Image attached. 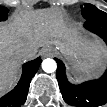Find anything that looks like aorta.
<instances>
[{
    "instance_id": "aorta-1",
    "label": "aorta",
    "mask_w": 107,
    "mask_h": 107,
    "mask_svg": "<svg viewBox=\"0 0 107 107\" xmlns=\"http://www.w3.org/2000/svg\"><path fill=\"white\" fill-rule=\"evenodd\" d=\"M42 69L46 73H53L57 69V63L51 58L44 59L42 62Z\"/></svg>"
}]
</instances>
